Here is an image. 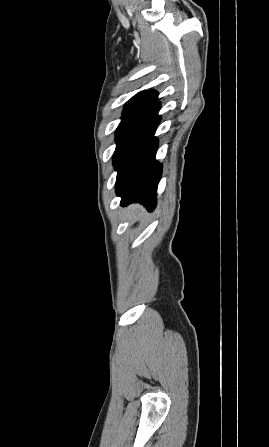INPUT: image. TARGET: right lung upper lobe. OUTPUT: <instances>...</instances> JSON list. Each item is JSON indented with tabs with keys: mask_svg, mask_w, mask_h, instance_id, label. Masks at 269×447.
<instances>
[{
	"mask_svg": "<svg viewBox=\"0 0 269 447\" xmlns=\"http://www.w3.org/2000/svg\"><path fill=\"white\" fill-rule=\"evenodd\" d=\"M158 93L156 91H143L132 97L125 105L123 114H133L156 101Z\"/></svg>",
	"mask_w": 269,
	"mask_h": 447,
	"instance_id": "1",
	"label": "right lung upper lobe"
}]
</instances>
